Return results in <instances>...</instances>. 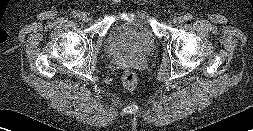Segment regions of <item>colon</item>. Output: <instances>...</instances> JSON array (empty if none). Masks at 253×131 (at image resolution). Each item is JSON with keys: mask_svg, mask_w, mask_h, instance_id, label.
Here are the masks:
<instances>
[{"mask_svg": "<svg viewBox=\"0 0 253 131\" xmlns=\"http://www.w3.org/2000/svg\"><path fill=\"white\" fill-rule=\"evenodd\" d=\"M137 74L133 70H126L123 75L124 87L128 90H134L137 86Z\"/></svg>", "mask_w": 253, "mask_h": 131, "instance_id": "colon-1", "label": "colon"}]
</instances>
